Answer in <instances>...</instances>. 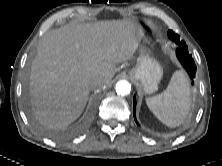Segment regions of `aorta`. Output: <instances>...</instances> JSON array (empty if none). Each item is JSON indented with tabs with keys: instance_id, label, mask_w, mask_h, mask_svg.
<instances>
[{
	"instance_id": "aorta-1",
	"label": "aorta",
	"mask_w": 222,
	"mask_h": 166,
	"mask_svg": "<svg viewBox=\"0 0 222 166\" xmlns=\"http://www.w3.org/2000/svg\"><path fill=\"white\" fill-rule=\"evenodd\" d=\"M116 92L119 95H128L131 92V85L126 80H120L116 84Z\"/></svg>"
}]
</instances>
